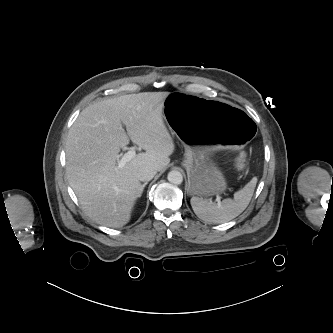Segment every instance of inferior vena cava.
<instances>
[{
	"label": "inferior vena cava",
	"mask_w": 333,
	"mask_h": 333,
	"mask_svg": "<svg viewBox=\"0 0 333 333\" xmlns=\"http://www.w3.org/2000/svg\"><path fill=\"white\" fill-rule=\"evenodd\" d=\"M157 173V169L149 166L140 167L136 173V178L139 181L147 182L150 181L155 174Z\"/></svg>",
	"instance_id": "obj_1"
}]
</instances>
